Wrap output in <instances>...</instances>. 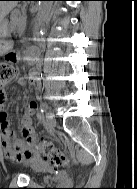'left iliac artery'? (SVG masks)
Returning <instances> with one entry per match:
<instances>
[{
    "label": "left iliac artery",
    "instance_id": "44dca946",
    "mask_svg": "<svg viewBox=\"0 0 137 189\" xmlns=\"http://www.w3.org/2000/svg\"><path fill=\"white\" fill-rule=\"evenodd\" d=\"M47 109V104H43L40 108V112L37 114V117L39 120H42L43 118V113ZM41 128H44V125H41Z\"/></svg>",
    "mask_w": 137,
    "mask_h": 189
}]
</instances>
